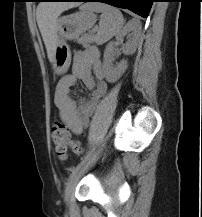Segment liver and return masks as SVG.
Wrapping results in <instances>:
<instances>
[{"label":"liver","instance_id":"1","mask_svg":"<svg viewBox=\"0 0 202 217\" xmlns=\"http://www.w3.org/2000/svg\"><path fill=\"white\" fill-rule=\"evenodd\" d=\"M76 6H78L77 3L41 2L37 7L36 19L51 63L54 62L57 43L58 17L63 11Z\"/></svg>","mask_w":202,"mask_h":217}]
</instances>
